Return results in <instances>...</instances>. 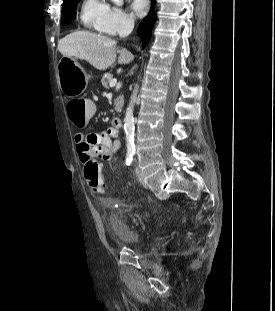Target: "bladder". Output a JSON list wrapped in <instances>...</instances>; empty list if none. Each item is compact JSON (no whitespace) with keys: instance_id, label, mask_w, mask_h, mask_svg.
Segmentation results:
<instances>
[{"instance_id":"31cf9c89","label":"bladder","mask_w":275,"mask_h":311,"mask_svg":"<svg viewBox=\"0 0 275 311\" xmlns=\"http://www.w3.org/2000/svg\"><path fill=\"white\" fill-rule=\"evenodd\" d=\"M108 225L117 244L121 246H130L137 242L138 234L118 213H111L108 215Z\"/></svg>"}]
</instances>
